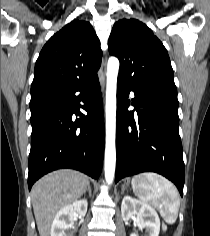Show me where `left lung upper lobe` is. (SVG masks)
<instances>
[{"instance_id": "1", "label": "left lung upper lobe", "mask_w": 210, "mask_h": 236, "mask_svg": "<svg viewBox=\"0 0 210 236\" xmlns=\"http://www.w3.org/2000/svg\"><path fill=\"white\" fill-rule=\"evenodd\" d=\"M109 52L120 61L118 78L132 88L177 94L167 50L142 22H116L109 37Z\"/></svg>"}]
</instances>
